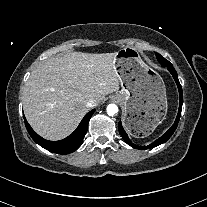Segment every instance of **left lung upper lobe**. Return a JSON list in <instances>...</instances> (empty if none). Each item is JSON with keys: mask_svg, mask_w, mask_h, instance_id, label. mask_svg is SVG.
Masks as SVG:
<instances>
[{"mask_svg": "<svg viewBox=\"0 0 207 207\" xmlns=\"http://www.w3.org/2000/svg\"><path fill=\"white\" fill-rule=\"evenodd\" d=\"M156 57L162 66L171 65V63L168 60H166L164 57H162L160 54L156 53Z\"/></svg>", "mask_w": 207, "mask_h": 207, "instance_id": "left-lung-upper-lobe-1", "label": "left lung upper lobe"}]
</instances>
